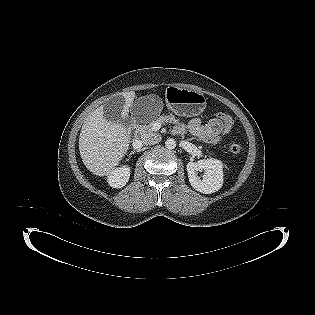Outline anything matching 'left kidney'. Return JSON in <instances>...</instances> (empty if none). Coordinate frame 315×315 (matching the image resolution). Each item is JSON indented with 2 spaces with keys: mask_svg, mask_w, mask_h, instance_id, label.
<instances>
[{
  "mask_svg": "<svg viewBox=\"0 0 315 315\" xmlns=\"http://www.w3.org/2000/svg\"><path fill=\"white\" fill-rule=\"evenodd\" d=\"M201 171H204L202 178L198 176V172ZM187 172L191 186L203 194L214 193L222 187L223 163L218 159L189 162Z\"/></svg>",
  "mask_w": 315,
  "mask_h": 315,
  "instance_id": "1",
  "label": "left kidney"
}]
</instances>
